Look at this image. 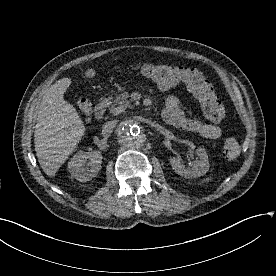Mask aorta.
Here are the masks:
<instances>
[{"label":"aorta","mask_w":276,"mask_h":276,"mask_svg":"<svg viewBox=\"0 0 276 276\" xmlns=\"http://www.w3.org/2000/svg\"><path fill=\"white\" fill-rule=\"evenodd\" d=\"M118 136L123 145L130 148H138L145 142V135L135 120L123 121L118 128Z\"/></svg>","instance_id":"obj_1"}]
</instances>
